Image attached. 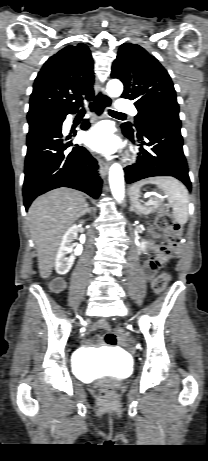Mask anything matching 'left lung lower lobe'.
<instances>
[{"label": "left lung lower lobe", "mask_w": 208, "mask_h": 461, "mask_svg": "<svg viewBox=\"0 0 208 461\" xmlns=\"http://www.w3.org/2000/svg\"><path fill=\"white\" fill-rule=\"evenodd\" d=\"M180 129L179 118L160 116L149 119L137 132L123 130L132 142L140 143L136 163L125 168L127 184L148 177L173 176L191 190Z\"/></svg>", "instance_id": "1"}]
</instances>
